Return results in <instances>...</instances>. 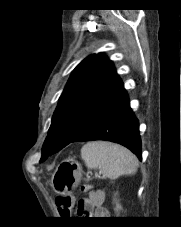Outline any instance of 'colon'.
<instances>
[{"instance_id": "colon-1", "label": "colon", "mask_w": 181, "mask_h": 227, "mask_svg": "<svg viewBox=\"0 0 181 227\" xmlns=\"http://www.w3.org/2000/svg\"><path fill=\"white\" fill-rule=\"evenodd\" d=\"M89 186L88 185H82L80 187V190L81 191H87L89 190ZM56 202L59 206V209H60V213L62 215H69L72 208H73V198L72 196L70 195H66V194H61V195H58L57 198H56Z\"/></svg>"}]
</instances>
